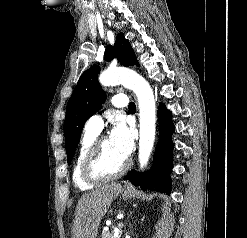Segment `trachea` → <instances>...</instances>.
<instances>
[{
  "label": "trachea",
  "mask_w": 247,
  "mask_h": 238,
  "mask_svg": "<svg viewBox=\"0 0 247 238\" xmlns=\"http://www.w3.org/2000/svg\"><path fill=\"white\" fill-rule=\"evenodd\" d=\"M129 109H130V110H135V109H136L135 103L130 102V103H129Z\"/></svg>",
  "instance_id": "obj_1"
}]
</instances>
